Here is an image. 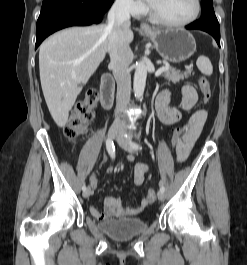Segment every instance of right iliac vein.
I'll list each match as a JSON object with an SVG mask.
<instances>
[{"label":"right iliac vein","mask_w":247,"mask_h":265,"mask_svg":"<svg viewBox=\"0 0 247 265\" xmlns=\"http://www.w3.org/2000/svg\"><path fill=\"white\" fill-rule=\"evenodd\" d=\"M119 131H120L119 127L115 126L110 127L108 131V139L113 140L118 135ZM90 194H91L90 189H86L85 191H83L84 198H89Z\"/></svg>","instance_id":"right-iliac-vein-1"}]
</instances>
